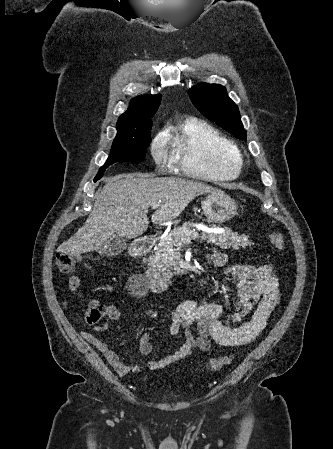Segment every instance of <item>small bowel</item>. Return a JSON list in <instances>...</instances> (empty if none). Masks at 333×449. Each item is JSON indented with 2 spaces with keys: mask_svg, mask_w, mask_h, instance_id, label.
I'll use <instances>...</instances> for the list:
<instances>
[{
  "mask_svg": "<svg viewBox=\"0 0 333 449\" xmlns=\"http://www.w3.org/2000/svg\"><path fill=\"white\" fill-rule=\"evenodd\" d=\"M208 259L217 267L226 264V256L219 252L208 255ZM232 271L239 278L233 312L225 315L222 305L216 303H200L192 300L182 302L172 313L169 328L172 336L178 335L180 330H183L182 344L177 351L162 359L148 360L146 362L148 369H160L183 360L195 349L208 351L212 342L225 347L247 345L264 330L281 298L279 281L272 266L240 265L234 267ZM68 282L70 290L87 302L88 308L97 303L95 300L86 299L78 276H70ZM108 317L111 320H118L120 312L110 306ZM193 327L195 332L192 331ZM104 330L103 326H98L95 333L83 331L82 336L101 351L119 375L137 372L139 366L122 362L118 354L97 335ZM139 351L144 356L152 352L148 333L140 336Z\"/></svg>",
  "mask_w": 333,
  "mask_h": 449,
  "instance_id": "c3829d8e",
  "label": "small bowel"
}]
</instances>
